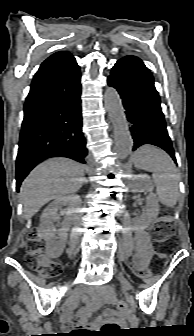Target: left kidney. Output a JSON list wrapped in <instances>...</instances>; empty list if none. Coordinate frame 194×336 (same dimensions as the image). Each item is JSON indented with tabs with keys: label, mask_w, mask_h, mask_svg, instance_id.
Here are the masks:
<instances>
[{
	"label": "left kidney",
	"mask_w": 194,
	"mask_h": 336,
	"mask_svg": "<svg viewBox=\"0 0 194 336\" xmlns=\"http://www.w3.org/2000/svg\"><path fill=\"white\" fill-rule=\"evenodd\" d=\"M153 183L147 174H138L134 176L132 183V192H149L146 198V210L140 218L134 222L135 226L142 229L147 228L153 223L159 214V203L156 195L153 193Z\"/></svg>",
	"instance_id": "left-kidney-1"
}]
</instances>
